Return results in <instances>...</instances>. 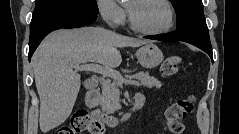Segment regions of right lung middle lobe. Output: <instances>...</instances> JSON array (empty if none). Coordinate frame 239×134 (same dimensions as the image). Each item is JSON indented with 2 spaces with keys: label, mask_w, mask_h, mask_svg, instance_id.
<instances>
[{
  "label": "right lung middle lobe",
  "mask_w": 239,
  "mask_h": 134,
  "mask_svg": "<svg viewBox=\"0 0 239 134\" xmlns=\"http://www.w3.org/2000/svg\"><path fill=\"white\" fill-rule=\"evenodd\" d=\"M62 9H75L98 14L96 0H36L30 25L35 24L48 14Z\"/></svg>",
  "instance_id": "right-lung-middle-lobe-1"
}]
</instances>
